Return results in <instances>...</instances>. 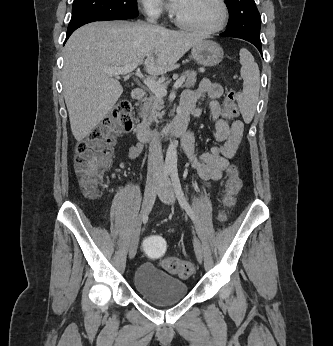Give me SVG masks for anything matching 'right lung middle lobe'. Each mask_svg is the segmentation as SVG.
Wrapping results in <instances>:
<instances>
[{
  "label": "right lung middle lobe",
  "instance_id": "1",
  "mask_svg": "<svg viewBox=\"0 0 333 346\" xmlns=\"http://www.w3.org/2000/svg\"><path fill=\"white\" fill-rule=\"evenodd\" d=\"M137 16L136 0H74L67 30L88 20H124Z\"/></svg>",
  "mask_w": 333,
  "mask_h": 346
}]
</instances>
